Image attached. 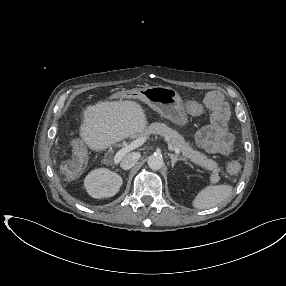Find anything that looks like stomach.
Instances as JSON below:
<instances>
[{
  "instance_id": "1",
  "label": "stomach",
  "mask_w": 286,
  "mask_h": 286,
  "mask_svg": "<svg viewBox=\"0 0 286 286\" xmlns=\"http://www.w3.org/2000/svg\"><path fill=\"white\" fill-rule=\"evenodd\" d=\"M138 97L164 118L179 126L188 123V116L178 92L166 86H149L138 90Z\"/></svg>"
}]
</instances>
